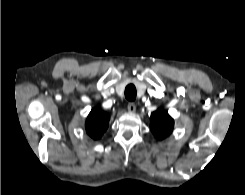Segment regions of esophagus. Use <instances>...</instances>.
<instances>
[{
  "instance_id": "obj_1",
  "label": "esophagus",
  "mask_w": 245,
  "mask_h": 195,
  "mask_svg": "<svg viewBox=\"0 0 245 195\" xmlns=\"http://www.w3.org/2000/svg\"><path fill=\"white\" fill-rule=\"evenodd\" d=\"M127 109L129 112H135L136 111V105L135 103L131 102L128 104Z\"/></svg>"
}]
</instances>
